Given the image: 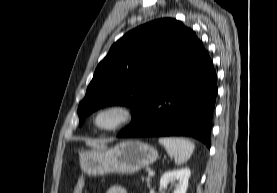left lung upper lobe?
I'll return each mask as SVG.
<instances>
[{"mask_svg":"<svg viewBox=\"0 0 277 193\" xmlns=\"http://www.w3.org/2000/svg\"><path fill=\"white\" fill-rule=\"evenodd\" d=\"M198 38L180 21L154 20L139 26L112 45L100 62L78 107L79 125L107 105H126L133 118L186 61Z\"/></svg>","mask_w":277,"mask_h":193,"instance_id":"5c2ea615","label":"left lung upper lobe"}]
</instances>
